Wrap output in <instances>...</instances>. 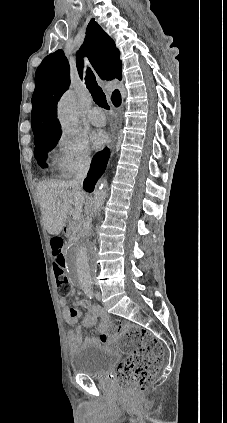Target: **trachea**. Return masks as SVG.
<instances>
[{
    "label": "trachea",
    "mask_w": 227,
    "mask_h": 423,
    "mask_svg": "<svg viewBox=\"0 0 227 423\" xmlns=\"http://www.w3.org/2000/svg\"><path fill=\"white\" fill-rule=\"evenodd\" d=\"M86 85L91 93L94 102L102 108H105L106 110H110V107L107 103L105 93L101 89V87L98 85L96 81V77L92 70L90 68L87 69V75H86Z\"/></svg>",
    "instance_id": "1"
}]
</instances>
